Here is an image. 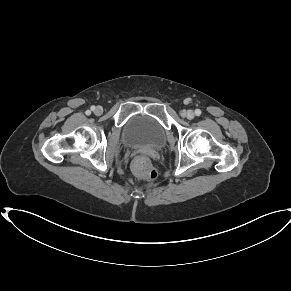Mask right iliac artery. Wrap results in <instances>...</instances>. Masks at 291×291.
Segmentation results:
<instances>
[{"label": "right iliac artery", "instance_id": "right-iliac-artery-1", "mask_svg": "<svg viewBox=\"0 0 291 291\" xmlns=\"http://www.w3.org/2000/svg\"><path fill=\"white\" fill-rule=\"evenodd\" d=\"M91 109H92V110H94V109H95V107H94V106H92V107H91ZM86 114H87V115H90V111H86Z\"/></svg>", "mask_w": 291, "mask_h": 291}]
</instances>
